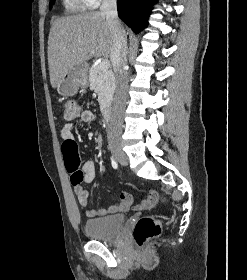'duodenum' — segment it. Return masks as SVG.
Segmentation results:
<instances>
[{
  "mask_svg": "<svg viewBox=\"0 0 247 280\" xmlns=\"http://www.w3.org/2000/svg\"><path fill=\"white\" fill-rule=\"evenodd\" d=\"M103 114V119L105 120V122L109 123L111 121V116H112V112L110 108H105L102 112Z\"/></svg>",
  "mask_w": 247,
  "mask_h": 280,
  "instance_id": "410a0bca",
  "label": "duodenum"
}]
</instances>
